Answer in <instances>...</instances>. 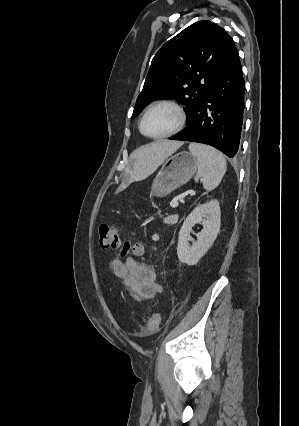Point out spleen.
Listing matches in <instances>:
<instances>
[{"label": "spleen", "mask_w": 299, "mask_h": 426, "mask_svg": "<svg viewBox=\"0 0 299 426\" xmlns=\"http://www.w3.org/2000/svg\"><path fill=\"white\" fill-rule=\"evenodd\" d=\"M189 151L197 158L198 162L195 181L201 178L206 190L211 191L215 189L220 184L227 170L224 155L213 147L198 143H191Z\"/></svg>", "instance_id": "spleen-1"}]
</instances>
